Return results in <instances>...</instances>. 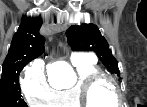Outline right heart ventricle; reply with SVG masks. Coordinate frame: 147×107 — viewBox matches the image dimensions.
<instances>
[{"mask_svg": "<svg viewBox=\"0 0 147 107\" xmlns=\"http://www.w3.org/2000/svg\"><path fill=\"white\" fill-rule=\"evenodd\" d=\"M77 75V82L70 88L55 91L54 99L51 106L59 107H82L78 96V87L80 83L89 76L99 73L100 69L93 60H85L73 63Z\"/></svg>", "mask_w": 147, "mask_h": 107, "instance_id": "1", "label": "right heart ventricle"}]
</instances>
